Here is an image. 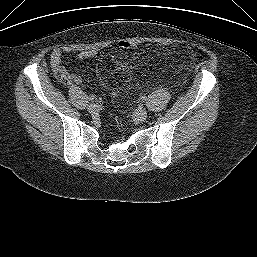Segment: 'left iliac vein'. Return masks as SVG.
I'll return each mask as SVG.
<instances>
[{
	"label": "left iliac vein",
	"mask_w": 257,
	"mask_h": 257,
	"mask_svg": "<svg viewBox=\"0 0 257 257\" xmlns=\"http://www.w3.org/2000/svg\"><path fill=\"white\" fill-rule=\"evenodd\" d=\"M148 113L145 109H138L134 112V118L138 122H143L147 119Z\"/></svg>",
	"instance_id": "left-iliac-vein-1"
}]
</instances>
